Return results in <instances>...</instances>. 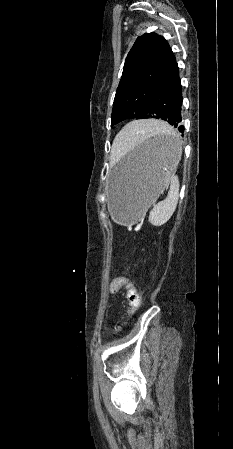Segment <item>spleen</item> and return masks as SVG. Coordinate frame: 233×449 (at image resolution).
<instances>
[{
	"instance_id": "obj_1",
	"label": "spleen",
	"mask_w": 233,
	"mask_h": 449,
	"mask_svg": "<svg viewBox=\"0 0 233 449\" xmlns=\"http://www.w3.org/2000/svg\"><path fill=\"white\" fill-rule=\"evenodd\" d=\"M126 125H132L126 124ZM133 133L126 134L124 139H119L120 144L116 149L117 156H121L130 151L139 142H153L154 138H159L161 133H173L169 125H132ZM179 145L180 153L182 146L178 138H176ZM179 197V182L178 178L174 176L171 179L170 190L165 200L158 202L154 205L149 214V222L154 226H161L165 224L173 215Z\"/></svg>"
}]
</instances>
